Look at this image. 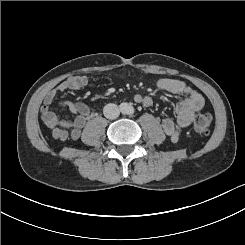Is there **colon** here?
Here are the masks:
<instances>
[{
  "label": "colon",
  "instance_id": "5ec220e1",
  "mask_svg": "<svg viewBox=\"0 0 245 245\" xmlns=\"http://www.w3.org/2000/svg\"><path fill=\"white\" fill-rule=\"evenodd\" d=\"M212 123V116L209 113H200L195 116L193 127L198 133L207 134Z\"/></svg>",
  "mask_w": 245,
  "mask_h": 245
}]
</instances>
